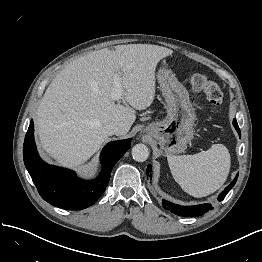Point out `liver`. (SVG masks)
Wrapping results in <instances>:
<instances>
[{
	"instance_id": "6515ba94",
	"label": "liver",
	"mask_w": 262,
	"mask_h": 262,
	"mask_svg": "<svg viewBox=\"0 0 262 262\" xmlns=\"http://www.w3.org/2000/svg\"><path fill=\"white\" fill-rule=\"evenodd\" d=\"M172 53L158 45L128 44L69 63L51 82L36 112L42 149L59 164L74 167L85 163L108 139L106 125L120 124L119 135H125L136 119L135 110L152 104L157 64ZM116 78L125 105L113 99Z\"/></svg>"
}]
</instances>
